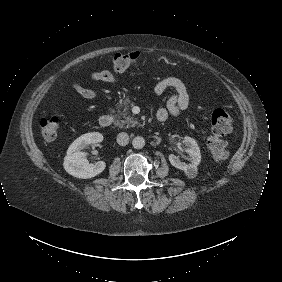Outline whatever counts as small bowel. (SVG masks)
<instances>
[{
	"instance_id": "c3829d8e",
	"label": "small bowel",
	"mask_w": 282,
	"mask_h": 282,
	"mask_svg": "<svg viewBox=\"0 0 282 282\" xmlns=\"http://www.w3.org/2000/svg\"><path fill=\"white\" fill-rule=\"evenodd\" d=\"M89 77L93 81L106 84H116L117 76L109 70L91 71ZM74 90L86 99L95 98L97 91L85 88L79 81L73 82ZM172 89L174 94L168 99L166 107L159 108L156 117L159 121H166L169 115L180 116L189 105V93L185 83L178 77L168 76L155 84L153 90L156 95H162L165 91Z\"/></svg>"
}]
</instances>
